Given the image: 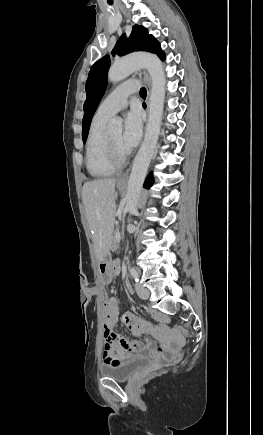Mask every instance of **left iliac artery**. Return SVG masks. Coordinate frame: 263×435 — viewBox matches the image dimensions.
Wrapping results in <instances>:
<instances>
[{
	"label": "left iliac artery",
	"mask_w": 263,
	"mask_h": 435,
	"mask_svg": "<svg viewBox=\"0 0 263 435\" xmlns=\"http://www.w3.org/2000/svg\"><path fill=\"white\" fill-rule=\"evenodd\" d=\"M130 274L135 279L136 282L139 281L138 279L139 275L134 267L130 268Z\"/></svg>",
	"instance_id": "1"
}]
</instances>
